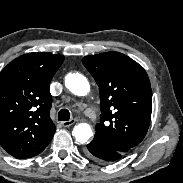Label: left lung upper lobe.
<instances>
[{
	"mask_svg": "<svg viewBox=\"0 0 183 183\" xmlns=\"http://www.w3.org/2000/svg\"><path fill=\"white\" fill-rule=\"evenodd\" d=\"M100 93L101 118L95 137L110 148L128 153L145 137L152 111V93L146 71L119 52L82 59Z\"/></svg>",
	"mask_w": 183,
	"mask_h": 183,
	"instance_id": "left-lung-upper-lobe-1",
	"label": "left lung upper lobe"
}]
</instances>
